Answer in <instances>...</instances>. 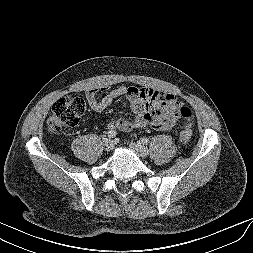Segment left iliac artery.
<instances>
[{"mask_svg":"<svg viewBox=\"0 0 253 253\" xmlns=\"http://www.w3.org/2000/svg\"><path fill=\"white\" fill-rule=\"evenodd\" d=\"M141 142H142L144 145H148L149 139L146 138V137H143V138H141Z\"/></svg>","mask_w":253,"mask_h":253,"instance_id":"left-iliac-artery-1","label":"left iliac artery"}]
</instances>
